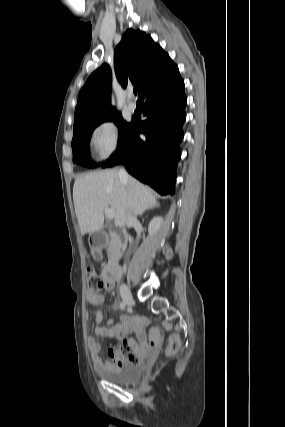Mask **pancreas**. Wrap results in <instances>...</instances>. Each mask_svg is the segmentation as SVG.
Masks as SVG:
<instances>
[{
    "mask_svg": "<svg viewBox=\"0 0 285 427\" xmlns=\"http://www.w3.org/2000/svg\"><path fill=\"white\" fill-rule=\"evenodd\" d=\"M118 244H119L118 239L113 234H110V241H109L110 249H111V247L118 245ZM110 249H109V252H110Z\"/></svg>",
    "mask_w": 285,
    "mask_h": 427,
    "instance_id": "pancreas-1",
    "label": "pancreas"
}]
</instances>
